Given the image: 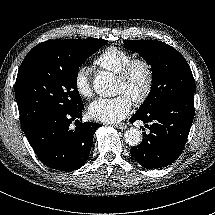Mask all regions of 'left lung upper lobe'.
I'll list each match as a JSON object with an SVG mask.
<instances>
[{"instance_id":"left-lung-upper-lobe-1","label":"left lung upper lobe","mask_w":215,"mask_h":215,"mask_svg":"<svg viewBox=\"0 0 215 215\" xmlns=\"http://www.w3.org/2000/svg\"><path fill=\"white\" fill-rule=\"evenodd\" d=\"M124 47L140 54L152 66V89L136 114L163 101L195 92V80L185 58L173 47L155 40H124Z\"/></svg>"}]
</instances>
